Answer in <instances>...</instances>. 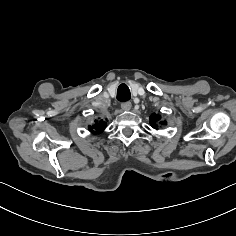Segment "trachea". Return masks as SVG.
Returning a JSON list of instances; mask_svg holds the SVG:
<instances>
[{
	"label": "trachea",
	"instance_id": "trachea-1",
	"mask_svg": "<svg viewBox=\"0 0 236 236\" xmlns=\"http://www.w3.org/2000/svg\"><path fill=\"white\" fill-rule=\"evenodd\" d=\"M131 98V93L126 84L119 85L117 89V99L121 102H126Z\"/></svg>",
	"mask_w": 236,
	"mask_h": 236
}]
</instances>
